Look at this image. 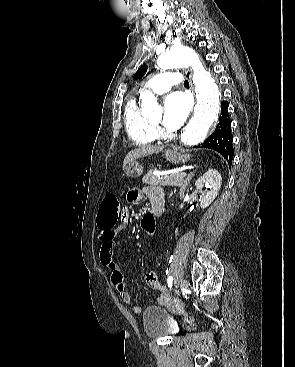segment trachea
Masks as SVG:
<instances>
[{"label":"trachea","instance_id":"obj_1","mask_svg":"<svg viewBox=\"0 0 295 367\" xmlns=\"http://www.w3.org/2000/svg\"><path fill=\"white\" fill-rule=\"evenodd\" d=\"M184 86L189 87V82L187 80L184 81Z\"/></svg>","mask_w":295,"mask_h":367}]
</instances>
